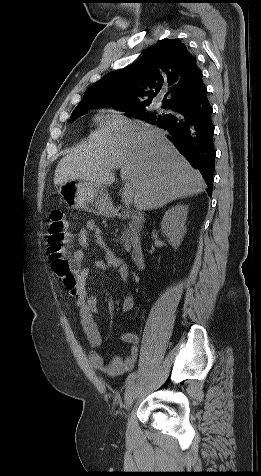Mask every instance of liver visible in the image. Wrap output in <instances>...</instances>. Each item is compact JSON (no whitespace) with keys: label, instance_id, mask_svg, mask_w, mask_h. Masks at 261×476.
I'll use <instances>...</instances> for the list:
<instances>
[{"label":"liver","instance_id":"liver-1","mask_svg":"<svg viewBox=\"0 0 261 476\" xmlns=\"http://www.w3.org/2000/svg\"><path fill=\"white\" fill-rule=\"evenodd\" d=\"M122 181L133 192L134 207L145 211L203 192L206 184L165 132L149 123L116 117L95 130L58 163L54 184L84 180L97 187Z\"/></svg>","mask_w":261,"mask_h":476}]
</instances>
